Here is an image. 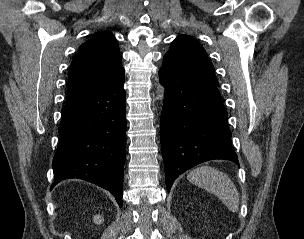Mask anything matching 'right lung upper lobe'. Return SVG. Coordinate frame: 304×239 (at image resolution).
Masks as SVG:
<instances>
[{
	"label": "right lung upper lobe",
	"mask_w": 304,
	"mask_h": 239,
	"mask_svg": "<svg viewBox=\"0 0 304 239\" xmlns=\"http://www.w3.org/2000/svg\"><path fill=\"white\" fill-rule=\"evenodd\" d=\"M114 35L101 31L82 44L70 66L67 101L86 96L124 73Z\"/></svg>",
	"instance_id": "1"
}]
</instances>
